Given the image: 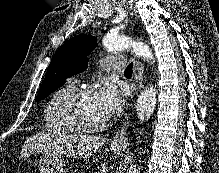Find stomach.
<instances>
[{
	"label": "stomach",
	"instance_id": "stomach-1",
	"mask_svg": "<svg viewBox=\"0 0 219 173\" xmlns=\"http://www.w3.org/2000/svg\"><path fill=\"white\" fill-rule=\"evenodd\" d=\"M113 150L117 156L124 154L121 146H115ZM39 170L40 173H66L62 154L52 151L43 154L39 160Z\"/></svg>",
	"mask_w": 219,
	"mask_h": 173
}]
</instances>
